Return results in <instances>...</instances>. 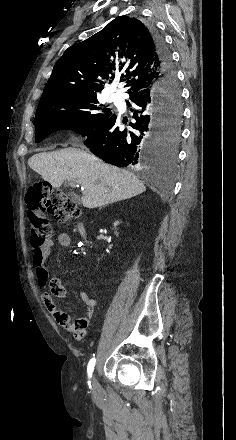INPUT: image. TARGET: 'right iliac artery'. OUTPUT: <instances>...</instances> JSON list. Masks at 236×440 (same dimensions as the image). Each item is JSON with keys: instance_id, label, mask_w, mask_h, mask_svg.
<instances>
[{"instance_id": "82829eb1", "label": "right iliac artery", "mask_w": 236, "mask_h": 440, "mask_svg": "<svg viewBox=\"0 0 236 440\" xmlns=\"http://www.w3.org/2000/svg\"><path fill=\"white\" fill-rule=\"evenodd\" d=\"M95 362H96V359H95V358H92V359L89 361V363H88L87 373H88V377H89V378L92 377V373H93V370H94ZM88 385H89V387L91 388L90 381H88Z\"/></svg>"}]
</instances>
